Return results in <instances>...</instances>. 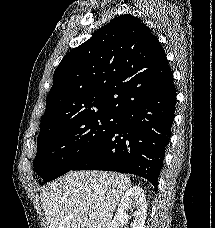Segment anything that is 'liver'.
<instances>
[{"label": "liver", "mask_w": 215, "mask_h": 228, "mask_svg": "<svg viewBox=\"0 0 215 228\" xmlns=\"http://www.w3.org/2000/svg\"><path fill=\"white\" fill-rule=\"evenodd\" d=\"M132 186L115 172H68L40 194L47 228H110L116 206Z\"/></svg>", "instance_id": "liver-1"}]
</instances>
